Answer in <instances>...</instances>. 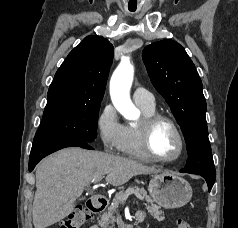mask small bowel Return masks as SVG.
<instances>
[{
    "instance_id": "c3829d8e",
    "label": "small bowel",
    "mask_w": 238,
    "mask_h": 228,
    "mask_svg": "<svg viewBox=\"0 0 238 228\" xmlns=\"http://www.w3.org/2000/svg\"><path fill=\"white\" fill-rule=\"evenodd\" d=\"M90 228H98V226H96V225H92Z\"/></svg>"
}]
</instances>
